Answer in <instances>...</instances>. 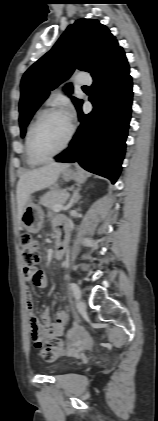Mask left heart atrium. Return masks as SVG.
I'll return each mask as SVG.
<instances>
[{
	"label": "left heart atrium",
	"mask_w": 158,
	"mask_h": 421,
	"mask_svg": "<svg viewBox=\"0 0 158 421\" xmlns=\"http://www.w3.org/2000/svg\"><path fill=\"white\" fill-rule=\"evenodd\" d=\"M65 115H66L67 119L70 121V120H71V116H72L71 111H70V110H68V111L65 113Z\"/></svg>",
	"instance_id": "1"
}]
</instances>
